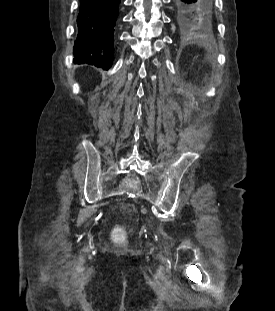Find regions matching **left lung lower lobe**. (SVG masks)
<instances>
[{
    "mask_svg": "<svg viewBox=\"0 0 275 311\" xmlns=\"http://www.w3.org/2000/svg\"><path fill=\"white\" fill-rule=\"evenodd\" d=\"M212 0H175L178 29L183 35L207 32L212 28Z\"/></svg>",
    "mask_w": 275,
    "mask_h": 311,
    "instance_id": "left-lung-lower-lobe-1",
    "label": "left lung lower lobe"
}]
</instances>
